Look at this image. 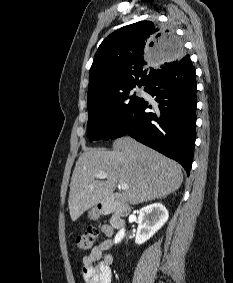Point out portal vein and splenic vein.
<instances>
[{"label": "portal vein and splenic vein", "mask_w": 233, "mask_h": 283, "mask_svg": "<svg viewBox=\"0 0 233 283\" xmlns=\"http://www.w3.org/2000/svg\"><path fill=\"white\" fill-rule=\"evenodd\" d=\"M106 176H107L106 173H98V174L95 175L96 178H105ZM120 188L122 190H126V189H128V184L120 182Z\"/></svg>", "instance_id": "obj_1"}]
</instances>
